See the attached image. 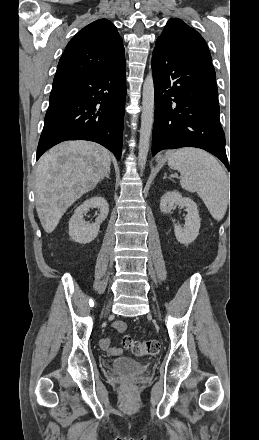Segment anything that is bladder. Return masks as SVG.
<instances>
[{"label":"bladder","instance_id":"31cf9c89","mask_svg":"<svg viewBox=\"0 0 259 440\" xmlns=\"http://www.w3.org/2000/svg\"><path fill=\"white\" fill-rule=\"evenodd\" d=\"M112 371L122 374H142L146 371L147 366L140 361L129 357H119L113 360L111 364Z\"/></svg>","mask_w":259,"mask_h":440}]
</instances>
